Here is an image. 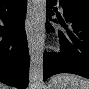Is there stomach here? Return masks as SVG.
I'll return each instance as SVG.
<instances>
[{
	"label": "stomach",
	"mask_w": 89,
	"mask_h": 89,
	"mask_svg": "<svg viewBox=\"0 0 89 89\" xmlns=\"http://www.w3.org/2000/svg\"><path fill=\"white\" fill-rule=\"evenodd\" d=\"M47 89H60L57 85L49 84Z\"/></svg>",
	"instance_id": "1"
}]
</instances>
